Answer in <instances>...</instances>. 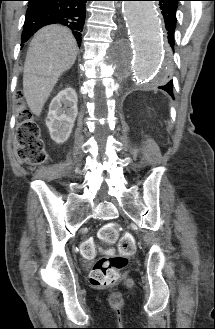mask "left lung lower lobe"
Masks as SVG:
<instances>
[{
	"label": "left lung lower lobe",
	"mask_w": 215,
	"mask_h": 329,
	"mask_svg": "<svg viewBox=\"0 0 215 329\" xmlns=\"http://www.w3.org/2000/svg\"><path fill=\"white\" fill-rule=\"evenodd\" d=\"M159 1L160 9L162 10V15L165 21V27L167 30L168 35V58H171L172 51L175 45L174 33L176 27V10H177V3L180 0H156ZM166 91L170 96H173V83L172 80L162 84L158 87Z\"/></svg>",
	"instance_id": "obj_1"
}]
</instances>
